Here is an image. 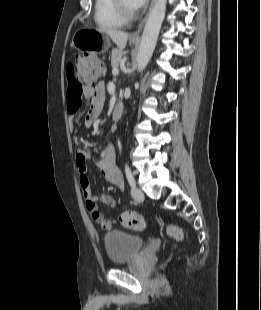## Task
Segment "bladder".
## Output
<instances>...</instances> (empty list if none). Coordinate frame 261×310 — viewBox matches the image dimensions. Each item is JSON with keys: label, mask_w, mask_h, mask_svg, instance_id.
Instances as JSON below:
<instances>
[{"label": "bladder", "mask_w": 261, "mask_h": 310, "mask_svg": "<svg viewBox=\"0 0 261 310\" xmlns=\"http://www.w3.org/2000/svg\"><path fill=\"white\" fill-rule=\"evenodd\" d=\"M145 244L141 236L123 231H111L104 236L105 249L113 264H122L134 259Z\"/></svg>", "instance_id": "1"}]
</instances>
